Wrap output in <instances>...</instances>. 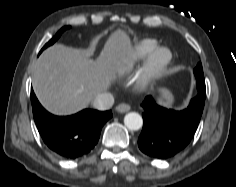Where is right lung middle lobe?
Listing matches in <instances>:
<instances>
[{
  "instance_id": "right-lung-middle-lobe-1",
  "label": "right lung middle lobe",
  "mask_w": 236,
  "mask_h": 187,
  "mask_svg": "<svg viewBox=\"0 0 236 187\" xmlns=\"http://www.w3.org/2000/svg\"><path fill=\"white\" fill-rule=\"evenodd\" d=\"M68 28H69V26H65V27L61 28V29L57 32V34H56L48 43H46V45L42 48L41 52H42L46 47L52 45L55 41H57L58 38L61 36V34H62L66 29H68Z\"/></svg>"
}]
</instances>
